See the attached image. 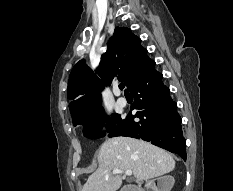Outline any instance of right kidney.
<instances>
[{"label": "right kidney", "instance_id": "obj_1", "mask_svg": "<svg viewBox=\"0 0 233 191\" xmlns=\"http://www.w3.org/2000/svg\"><path fill=\"white\" fill-rule=\"evenodd\" d=\"M174 177L171 175L162 176L157 179V186L154 183V181L150 182V186L155 191H171L173 185H174Z\"/></svg>", "mask_w": 233, "mask_h": 191}]
</instances>
